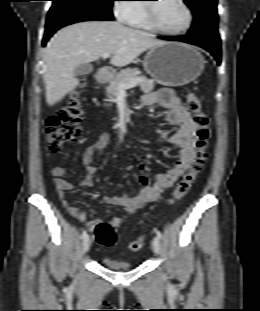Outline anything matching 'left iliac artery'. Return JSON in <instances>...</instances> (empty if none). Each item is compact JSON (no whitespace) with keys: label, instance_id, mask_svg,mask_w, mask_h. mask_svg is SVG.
<instances>
[{"label":"left iliac artery","instance_id":"44dca946","mask_svg":"<svg viewBox=\"0 0 260 311\" xmlns=\"http://www.w3.org/2000/svg\"><path fill=\"white\" fill-rule=\"evenodd\" d=\"M156 234H157V237H158L159 239L162 238V233H161L160 231H157Z\"/></svg>","mask_w":260,"mask_h":311}]
</instances>
